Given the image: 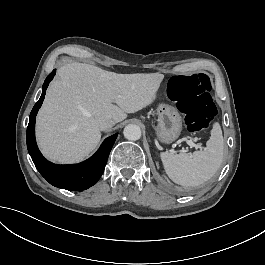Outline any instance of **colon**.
<instances>
[{"label":"colon","instance_id":"obj_1","mask_svg":"<svg viewBox=\"0 0 265 265\" xmlns=\"http://www.w3.org/2000/svg\"><path fill=\"white\" fill-rule=\"evenodd\" d=\"M171 95L179 99V112L186 116L190 132L201 133L207 130L215 117L216 105L211 97L210 79L201 73H194L187 78L177 76L169 84Z\"/></svg>","mask_w":265,"mask_h":265}]
</instances>
